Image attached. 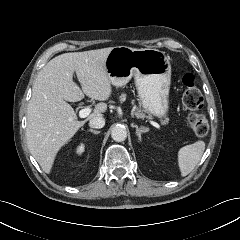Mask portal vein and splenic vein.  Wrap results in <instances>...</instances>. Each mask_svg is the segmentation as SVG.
Wrapping results in <instances>:
<instances>
[{"label": "portal vein and splenic vein", "mask_w": 240, "mask_h": 240, "mask_svg": "<svg viewBox=\"0 0 240 240\" xmlns=\"http://www.w3.org/2000/svg\"><path fill=\"white\" fill-rule=\"evenodd\" d=\"M90 112H91V109H90V108H88V107L83 108V109H81V110L79 111V117H80V118H86V117L90 114ZM150 123H151L154 127H156L157 129H160V128H161L160 125H159L157 122H155V121H150Z\"/></svg>", "instance_id": "portal-vein-and-splenic-vein-1"}]
</instances>
